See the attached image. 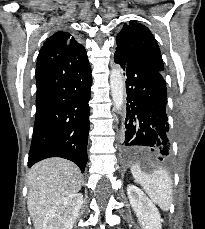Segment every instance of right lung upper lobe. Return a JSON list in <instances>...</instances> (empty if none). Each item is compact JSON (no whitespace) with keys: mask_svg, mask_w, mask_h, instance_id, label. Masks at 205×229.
Listing matches in <instances>:
<instances>
[{"mask_svg":"<svg viewBox=\"0 0 205 229\" xmlns=\"http://www.w3.org/2000/svg\"><path fill=\"white\" fill-rule=\"evenodd\" d=\"M52 59L62 60L69 69H80L89 64L85 48L72 34L58 31L40 49L37 66Z\"/></svg>","mask_w":205,"mask_h":229,"instance_id":"right-lung-upper-lobe-1","label":"right lung upper lobe"}]
</instances>
